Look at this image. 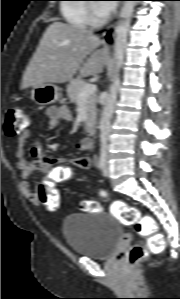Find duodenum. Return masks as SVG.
I'll list each match as a JSON object with an SVG mask.
<instances>
[{"label": "duodenum", "mask_w": 180, "mask_h": 299, "mask_svg": "<svg viewBox=\"0 0 180 299\" xmlns=\"http://www.w3.org/2000/svg\"><path fill=\"white\" fill-rule=\"evenodd\" d=\"M84 126H85V131L87 132V134L93 135L95 133L96 125L94 122L87 121V122H85Z\"/></svg>", "instance_id": "1"}]
</instances>
